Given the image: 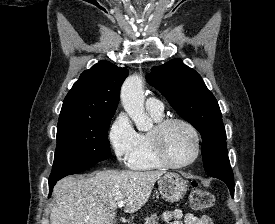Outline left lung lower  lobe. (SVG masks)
Masks as SVG:
<instances>
[{
    "instance_id": "0a47b994",
    "label": "left lung lower lobe",
    "mask_w": 275,
    "mask_h": 224,
    "mask_svg": "<svg viewBox=\"0 0 275 224\" xmlns=\"http://www.w3.org/2000/svg\"><path fill=\"white\" fill-rule=\"evenodd\" d=\"M220 180H222L223 182L226 183V185L228 186L231 195H234V180L233 179H229V178H221Z\"/></svg>"
}]
</instances>
